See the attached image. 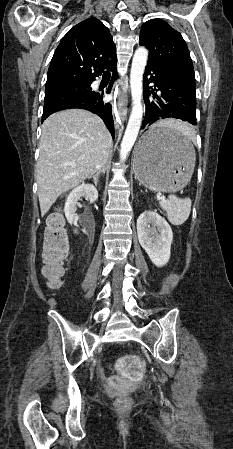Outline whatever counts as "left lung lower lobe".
Masks as SVG:
<instances>
[{
  "mask_svg": "<svg viewBox=\"0 0 233 449\" xmlns=\"http://www.w3.org/2000/svg\"><path fill=\"white\" fill-rule=\"evenodd\" d=\"M144 100L147 106L142 129L163 118H176L196 125V90L183 83L166 71L147 63L144 73ZM149 83L155 89L149 91ZM160 91V96L153 94L155 100L150 101V93ZM181 137L170 132L150 135L145 142L146 147L178 144Z\"/></svg>",
  "mask_w": 233,
  "mask_h": 449,
  "instance_id": "1",
  "label": "left lung lower lobe"
}]
</instances>
